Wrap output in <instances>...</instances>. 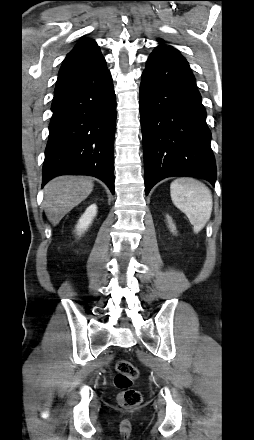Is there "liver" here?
Here are the masks:
<instances>
[{
	"mask_svg": "<svg viewBox=\"0 0 254 440\" xmlns=\"http://www.w3.org/2000/svg\"><path fill=\"white\" fill-rule=\"evenodd\" d=\"M93 186L90 178L82 176H61L47 183L43 204L50 222L57 225L69 211L90 195Z\"/></svg>",
	"mask_w": 254,
	"mask_h": 440,
	"instance_id": "1",
	"label": "liver"
}]
</instances>
